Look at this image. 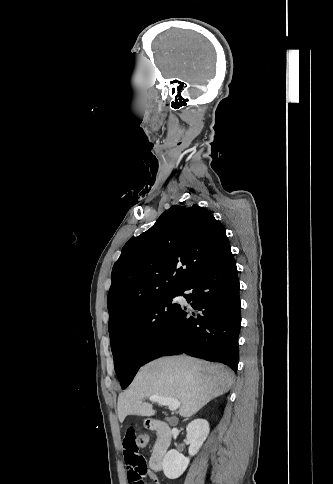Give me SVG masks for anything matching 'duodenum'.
Returning a JSON list of instances; mask_svg holds the SVG:
<instances>
[{
    "mask_svg": "<svg viewBox=\"0 0 333 484\" xmlns=\"http://www.w3.org/2000/svg\"><path fill=\"white\" fill-rule=\"evenodd\" d=\"M147 427L157 433V441L149 459L150 468L154 471H161L164 455L171 444L172 429L166 422L157 419H148Z\"/></svg>",
    "mask_w": 333,
    "mask_h": 484,
    "instance_id": "obj_1",
    "label": "duodenum"
}]
</instances>
